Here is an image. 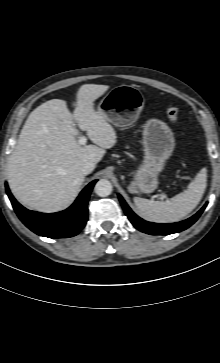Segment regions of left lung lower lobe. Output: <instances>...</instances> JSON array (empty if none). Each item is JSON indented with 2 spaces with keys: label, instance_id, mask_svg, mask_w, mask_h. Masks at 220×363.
Here are the masks:
<instances>
[{
  "label": "left lung lower lobe",
  "instance_id": "1",
  "mask_svg": "<svg viewBox=\"0 0 220 363\" xmlns=\"http://www.w3.org/2000/svg\"><path fill=\"white\" fill-rule=\"evenodd\" d=\"M119 200L122 204V207L125 211L126 216L129 218L131 223L140 231L151 234V235H169L173 233H177L183 231L190 227L202 214L207 203L202 207L200 211H198L194 216L191 218L172 224H158V223H151L147 222L140 217H138L126 204L124 199L119 195Z\"/></svg>",
  "mask_w": 220,
  "mask_h": 363
}]
</instances>
